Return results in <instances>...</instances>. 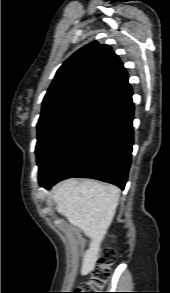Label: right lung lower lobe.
I'll return each mask as SVG.
<instances>
[{
    "label": "right lung lower lobe",
    "mask_w": 170,
    "mask_h": 293,
    "mask_svg": "<svg viewBox=\"0 0 170 293\" xmlns=\"http://www.w3.org/2000/svg\"><path fill=\"white\" fill-rule=\"evenodd\" d=\"M132 95L113 105L40 186L70 177L93 178L124 189L133 146Z\"/></svg>",
    "instance_id": "98d812e1"
}]
</instances>
